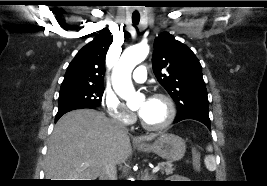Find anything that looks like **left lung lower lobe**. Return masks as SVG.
<instances>
[{"mask_svg":"<svg viewBox=\"0 0 267 186\" xmlns=\"http://www.w3.org/2000/svg\"><path fill=\"white\" fill-rule=\"evenodd\" d=\"M185 119H193L197 120L203 124H205L209 129L211 127V122L208 115H202V114H187L182 116H177L175 119V122H179Z\"/></svg>","mask_w":267,"mask_h":186,"instance_id":"left-lung-lower-lobe-1","label":"left lung lower lobe"}]
</instances>
